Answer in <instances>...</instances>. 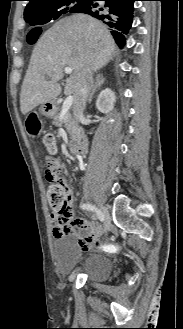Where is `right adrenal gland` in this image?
Returning a JSON list of instances; mask_svg holds the SVG:
<instances>
[{
    "instance_id": "right-adrenal-gland-1",
    "label": "right adrenal gland",
    "mask_w": 183,
    "mask_h": 329,
    "mask_svg": "<svg viewBox=\"0 0 183 329\" xmlns=\"http://www.w3.org/2000/svg\"><path fill=\"white\" fill-rule=\"evenodd\" d=\"M105 79L103 77L102 74H98L95 78V83H94V87L89 95L88 98V104H90L92 102V98L95 94V92L100 88V86L104 83Z\"/></svg>"
}]
</instances>
